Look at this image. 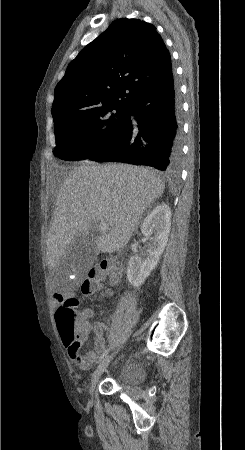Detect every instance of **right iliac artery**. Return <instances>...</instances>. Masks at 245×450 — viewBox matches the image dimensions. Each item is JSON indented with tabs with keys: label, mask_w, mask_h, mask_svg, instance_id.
Here are the masks:
<instances>
[{
	"label": "right iliac artery",
	"mask_w": 245,
	"mask_h": 450,
	"mask_svg": "<svg viewBox=\"0 0 245 450\" xmlns=\"http://www.w3.org/2000/svg\"><path fill=\"white\" fill-rule=\"evenodd\" d=\"M109 350H110V348L106 349V350L102 353V355H101V357H100V361L103 360V359L107 356Z\"/></svg>",
	"instance_id": "1"
}]
</instances>
